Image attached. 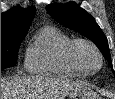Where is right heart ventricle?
Here are the masks:
<instances>
[{"mask_svg": "<svg viewBox=\"0 0 115 99\" xmlns=\"http://www.w3.org/2000/svg\"><path fill=\"white\" fill-rule=\"evenodd\" d=\"M72 38L55 26H44L35 35L26 54L25 67L38 75L82 77L70 62L67 50Z\"/></svg>", "mask_w": 115, "mask_h": 99, "instance_id": "e07e8e85", "label": "right heart ventricle"}]
</instances>
